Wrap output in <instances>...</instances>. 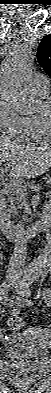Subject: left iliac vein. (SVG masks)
<instances>
[{
  "label": "left iliac vein",
  "mask_w": 51,
  "mask_h": 393,
  "mask_svg": "<svg viewBox=\"0 0 51 393\" xmlns=\"http://www.w3.org/2000/svg\"><path fill=\"white\" fill-rule=\"evenodd\" d=\"M11 287H14V288L16 289V291L18 292V294H20V295L23 296V294H22V288H21V283L18 284L16 281H13V282L11 283Z\"/></svg>",
  "instance_id": "4c4485c4"
}]
</instances>
